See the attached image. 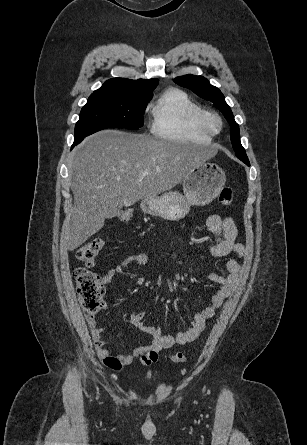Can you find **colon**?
<instances>
[{
  "mask_svg": "<svg viewBox=\"0 0 307 445\" xmlns=\"http://www.w3.org/2000/svg\"><path fill=\"white\" fill-rule=\"evenodd\" d=\"M232 198V189L223 187L218 196L219 202L229 206L232 203ZM118 218L122 222H128L131 219V213L124 211L119 214ZM103 245L104 241L101 238H93L86 242L77 253L78 259L84 263L85 267L77 268L74 275L80 303L87 318L94 317L104 307L102 280L97 274L89 271V268L95 265L96 257ZM188 358V355L182 352L171 355L173 362H186Z\"/></svg>",
  "mask_w": 307,
  "mask_h": 445,
  "instance_id": "obj_1",
  "label": "colon"
}]
</instances>
